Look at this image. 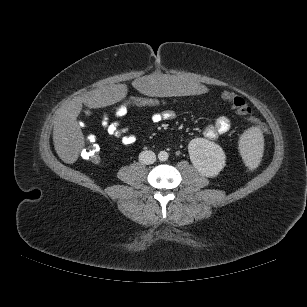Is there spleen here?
<instances>
[{"mask_svg": "<svg viewBox=\"0 0 307 307\" xmlns=\"http://www.w3.org/2000/svg\"><path fill=\"white\" fill-rule=\"evenodd\" d=\"M261 134L252 128L240 140L241 159L248 166L257 165L262 159Z\"/></svg>", "mask_w": 307, "mask_h": 307, "instance_id": "obj_1", "label": "spleen"}]
</instances>
